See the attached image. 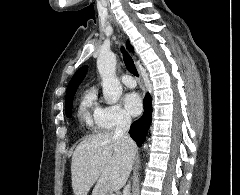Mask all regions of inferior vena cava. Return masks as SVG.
I'll use <instances>...</instances> for the list:
<instances>
[{
	"label": "inferior vena cava",
	"mask_w": 240,
	"mask_h": 195,
	"mask_svg": "<svg viewBox=\"0 0 240 195\" xmlns=\"http://www.w3.org/2000/svg\"><path fill=\"white\" fill-rule=\"evenodd\" d=\"M130 125H131V119H130V115H127V113H123L121 119H119L117 125H116V129H115V137H119V139H123V141H125V143H129V145H131L133 139H131L128 131L130 129ZM130 183H128V185H126L124 191H123V195H130Z\"/></svg>",
	"instance_id": "602c4592"
}]
</instances>
